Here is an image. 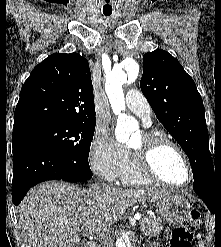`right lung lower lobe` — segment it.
Masks as SVG:
<instances>
[{
	"mask_svg": "<svg viewBox=\"0 0 221 247\" xmlns=\"http://www.w3.org/2000/svg\"><path fill=\"white\" fill-rule=\"evenodd\" d=\"M14 205H18L34 185L48 180L84 182L92 177L90 168L69 160L39 141L12 137Z\"/></svg>",
	"mask_w": 221,
	"mask_h": 247,
	"instance_id": "1",
	"label": "right lung lower lobe"
}]
</instances>
